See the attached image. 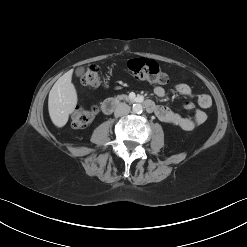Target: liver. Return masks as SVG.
<instances>
[{"label": "liver", "mask_w": 247, "mask_h": 247, "mask_svg": "<svg viewBox=\"0 0 247 247\" xmlns=\"http://www.w3.org/2000/svg\"><path fill=\"white\" fill-rule=\"evenodd\" d=\"M77 92L72 83V70L63 74L49 92L48 110L53 124L63 127L77 105Z\"/></svg>", "instance_id": "1"}]
</instances>
